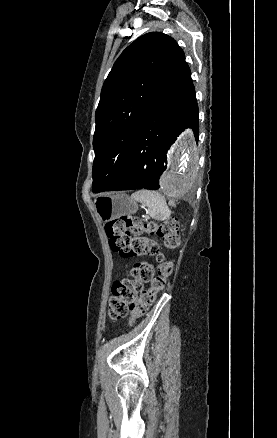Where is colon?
Segmentation results:
<instances>
[{
    "instance_id": "obj_1",
    "label": "colon",
    "mask_w": 277,
    "mask_h": 438,
    "mask_svg": "<svg viewBox=\"0 0 277 438\" xmlns=\"http://www.w3.org/2000/svg\"><path fill=\"white\" fill-rule=\"evenodd\" d=\"M105 232L111 250L124 259L141 256L158 258V277L153 278L154 267L151 263H136L131 269V277L119 279L113 289L108 308L110 316L118 319L129 315L130 321H135L146 314L172 275L173 264L162 259V252L180 244V225L175 219L155 223L123 215L120 220L108 221ZM143 232L149 236H140ZM149 281H152L151 289L139 295L143 283Z\"/></svg>"
}]
</instances>
